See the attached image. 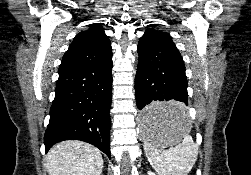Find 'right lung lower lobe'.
<instances>
[{"mask_svg":"<svg viewBox=\"0 0 251 175\" xmlns=\"http://www.w3.org/2000/svg\"><path fill=\"white\" fill-rule=\"evenodd\" d=\"M56 95L44 136L46 152L57 142H88L109 158L112 55L99 64L58 71Z\"/></svg>","mask_w":251,"mask_h":175,"instance_id":"1","label":"right lung lower lobe"}]
</instances>
